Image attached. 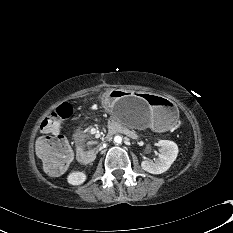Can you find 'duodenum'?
Returning <instances> with one entry per match:
<instances>
[{
  "label": "duodenum",
  "mask_w": 233,
  "mask_h": 233,
  "mask_svg": "<svg viewBox=\"0 0 233 233\" xmlns=\"http://www.w3.org/2000/svg\"><path fill=\"white\" fill-rule=\"evenodd\" d=\"M115 134H125L131 136L132 133L125 127L113 122L109 127L108 133L105 137V141L110 140ZM96 155L97 152L95 150L85 151L79 148L77 151L78 160L83 164H89L93 162L96 158Z\"/></svg>",
  "instance_id": "1"
}]
</instances>
